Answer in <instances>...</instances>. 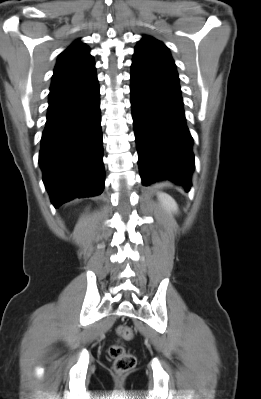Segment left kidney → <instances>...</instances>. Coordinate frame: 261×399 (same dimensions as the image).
<instances>
[{
    "label": "left kidney",
    "instance_id": "obj_1",
    "mask_svg": "<svg viewBox=\"0 0 261 399\" xmlns=\"http://www.w3.org/2000/svg\"><path fill=\"white\" fill-rule=\"evenodd\" d=\"M158 199L161 202L162 206L169 212L177 213L178 205L175 200L168 195L167 193L160 192L158 193Z\"/></svg>",
    "mask_w": 261,
    "mask_h": 399
}]
</instances>
